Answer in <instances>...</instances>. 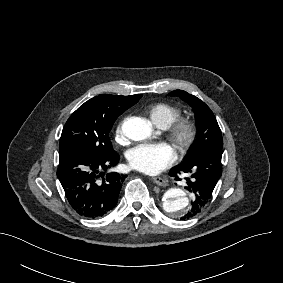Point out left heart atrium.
Wrapping results in <instances>:
<instances>
[{
	"instance_id": "39dd6f15",
	"label": "left heart atrium",
	"mask_w": 283,
	"mask_h": 283,
	"mask_svg": "<svg viewBox=\"0 0 283 283\" xmlns=\"http://www.w3.org/2000/svg\"><path fill=\"white\" fill-rule=\"evenodd\" d=\"M127 159L133 169L156 175L176 161L177 153L165 142L146 143L130 149Z\"/></svg>"
}]
</instances>
